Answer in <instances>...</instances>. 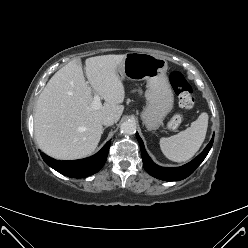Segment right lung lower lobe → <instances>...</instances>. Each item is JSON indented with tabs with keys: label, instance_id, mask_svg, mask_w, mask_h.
<instances>
[{
	"label": "right lung lower lobe",
	"instance_id": "98d812e1",
	"mask_svg": "<svg viewBox=\"0 0 248 248\" xmlns=\"http://www.w3.org/2000/svg\"><path fill=\"white\" fill-rule=\"evenodd\" d=\"M111 140L95 155L72 161H58L45 154L43 160L59 173L71 178H83L98 172L106 162Z\"/></svg>",
	"mask_w": 248,
	"mask_h": 248
}]
</instances>
